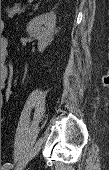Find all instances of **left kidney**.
I'll list each match as a JSON object with an SVG mask.
<instances>
[{
	"label": "left kidney",
	"instance_id": "obj_1",
	"mask_svg": "<svg viewBox=\"0 0 109 170\" xmlns=\"http://www.w3.org/2000/svg\"><path fill=\"white\" fill-rule=\"evenodd\" d=\"M56 25V14L48 12L34 17L27 25L28 34L38 40V50L43 52L50 45Z\"/></svg>",
	"mask_w": 109,
	"mask_h": 170
}]
</instances>
